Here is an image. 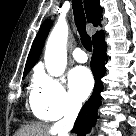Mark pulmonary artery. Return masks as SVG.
<instances>
[{"label": "pulmonary artery", "mask_w": 136, "mask_h": 136, "mask_svg": "<svg viewBox=\"0 0 136 136\" xmlns=\"http://www.w3.org/2000/svg\"><path fill=\"white\" fill-rule=\"evenodd\" d=\"M73 57L75 58L76 61L81 63H84L87 61V54L81 48H75L73 50Z\"/></svg>", "instance_id": "1"}]
</instances>
